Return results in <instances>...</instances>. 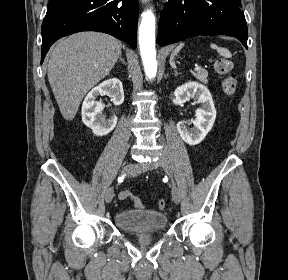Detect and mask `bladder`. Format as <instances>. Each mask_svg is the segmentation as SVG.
<instances>
[{"instance_id": "1", "label": "bladder", "mask_w": 288, "mask_h": 280, "mask_svg": "<svg viewBox=\"0 0 288 280\" xmlns=\"http://www.w3.org/2000/svg\"><path fill=\"white\" fill-rule=\"evenodd\" d=\"M167 222L165 213L149 209L121 210L114 216L116 227L126 232H159Z\"/></svg>"}]
</instances>
